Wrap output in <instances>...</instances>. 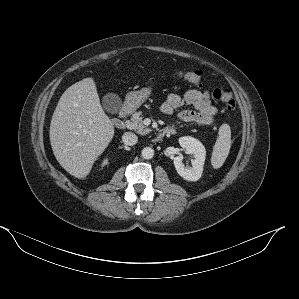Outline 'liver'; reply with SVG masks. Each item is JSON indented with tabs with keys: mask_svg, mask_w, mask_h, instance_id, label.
<instances>
[{
	"mask_svg": "<svg viewBox=\"0 0 299 299\" xmlns=\"http://www.w3.org/2000/svg\"><path fill=\"white\" fill-rule=\"evenodd\" d=\"M114 136L93 78L71 85L62 94L50 124V143L59 164L72 176L85 178Z\"/></svg>",
	"mask_w": 299,
	"mask_h": 299,
	"instance_id": "liver-1",
	"label": "liver"
}]
</instances>
